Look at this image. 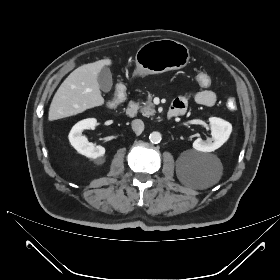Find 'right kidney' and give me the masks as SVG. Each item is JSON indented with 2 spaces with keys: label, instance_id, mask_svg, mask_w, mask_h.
I'll return each mask as SVG.
<instances>
[{
  "label": "right kidney",
  "instance_id": "1",
  "mask_svg": "<svg viewBox=\"0 0 280 280\" xmlns=\"http://www.w3.org/2000/svg\"><path fill=\"white\" fill-rule=\"evenodd\" d=\"M96 124L97 120L94 118L84 119L72 127L68 136L71 145L80 154L92 159L103 157L105 148L100 145L95 146L93 143L89 142L87 138L82 135V132L86 129H95Z\"/></svg>",
  "mask_w": 280,
  "mask_h": 280
}]
</instances>
